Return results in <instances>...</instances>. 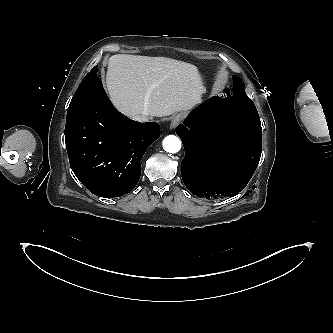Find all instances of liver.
Returning a JSON list of instances; mask_svg holds the SVG:
<instances>
[{
	"mask_svg": "<svg viewBox=\"0 0 333 333\" xmlns=\"http://www.w3.org/2000/svg\"><path fill=\"white\" fill-rule=\"evenodd\" d=\"M106 86L114 106L131 118L189 110L205 93L196 66L167 57L127 54L109 58Z\"/></svg>",
	"mask_w": 333,
	"mask_h": 333,
	"instance_id": "liver-1",
	"label": "liver"
}]
</instances>
